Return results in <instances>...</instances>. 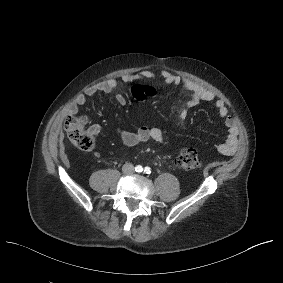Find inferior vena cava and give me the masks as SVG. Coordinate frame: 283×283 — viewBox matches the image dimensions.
<instances>
[{
  "mask_svg": "<svg viewBox=\"0 0 283 283\" xmlns=\"http://www.w3.org/2000/svg\"><path fill=\"white\" fill-rule=\"evenodd\" d=\"M124 173H132L134 170V166L131 163H125L122 167Z\"/></svg>",
  "mask_w": 283,
  "mask_h": 283,
  "instance_id": "inferior-vena-cava-1",
  "label": "inferior vena cava"
}]
</instances>
